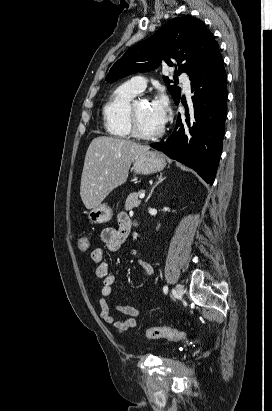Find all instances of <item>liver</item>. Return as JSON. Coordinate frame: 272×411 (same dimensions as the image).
Masks as SVG:
<instances>
[{
    "instance_id": "1",
    "label": "liver",
    "mask_w": 272,
    "mask_h": 411,
    "mask_svg": "<svg viewBox=\"0 0 272 411\" xmlns=\"http://www.w3.org/2000/svg\"><path fill=\"white\" fill-rule=\"evenodd\" d=\"M148 146L121 138H94L86 152L81 177L80 196L87 209L101 204L108 194L127 181L134 158Z\"/></svg>"
}]
</instances>
